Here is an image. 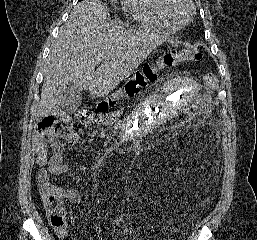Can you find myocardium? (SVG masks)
Masks as SVG:
<instances>
[{
  "instance_id": "myocardium-1",
  "label": "myocardium",
  "mask_w": 257,
  "mask_h": 240,
  "mask_svg": "<svg viewBox=\"0 0 257 240\" xmlns=\"http://www.w3.org/2000/svg\"><path fill=\"white\" fill-rule=\"evenodd\" d=\"M165 1V12L167 17L170 19L172 23H174L177 27H184L190 24L194 18L196 7L192 0H164ZM183 2L187 4L190 8V13L188 18L185 21H181L174 13V7L177 3Z\"/></svg>"
}]
</instances>
